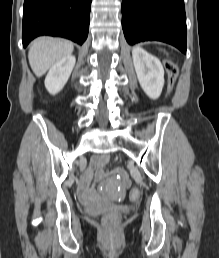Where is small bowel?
<instances>
[{"instance_id": "1", "label": "small bowel", "mask_w": 219, "mask_h": 258, "mask_svg": "<svg viewBox=\"0 0 219 258\" xmlns=\"http://www.w3.org/2000/svg\"><path fill=\"white\" fill-rule=\"evenodd\" d=\"M108 160V156L107 155H102V156H98L95 157L92 160V168L95 170L96 172V178L97 180H102L104 177L103 174V166L106 163V161ZM118 176H122V180L124 181L125 184H132L133 180L132 179H127V171H120L121 169H118ZM95 194V190L90 187L89 184V175H86L84 181L81 184V196L84 199H88V200H92V198L94 197Z\"/></svg>"}]
</instances>
